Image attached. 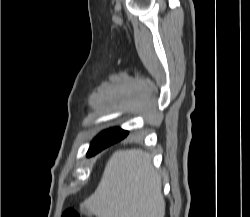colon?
Wrapping results in <instances>:
<instances>
[{
    "instance_id": "1",
    "label": "colon",
    "mask_w": 250,
    "mask_h": 217,
    "mask_svg": "<svg viewBox=\"0 0 250 217\" xmlns=\"http://www.w3.org/2000/svg\"><path fill=\"white\" fill-rule=\"evenodd\" d=\"M62 217H83V215L76 209H69L63 213Z\"/></svg>"
}]
</instances>
